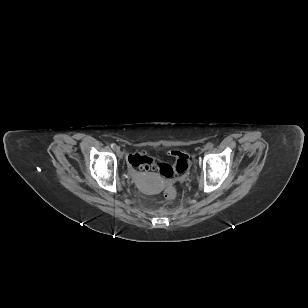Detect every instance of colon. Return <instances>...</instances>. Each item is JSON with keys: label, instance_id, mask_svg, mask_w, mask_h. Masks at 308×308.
Masks as SVG:
<instances>
[{"label": "colon", "instance_id": "1", "mask_svg": "<svg viewBox=\"0 0 308 308\" xmlns=\"http://www.w3.org/2000/svg\"><path fill=\"white\" fill-rule=\"evenodd\" d=\"M170 154L174 157L175 162L173 164L161 163L158 164L145 152H137L129 157L131 165L141 169L157 168L161 175L165 177H171L175 173L184 172L189 165V158L187 154L181 151H171ZM178 195V191L175 186L168 185L164 190V196L168 200H174Z\"/></svg>", "mask_w": 308, "mask_h": 308}]
</instances>
